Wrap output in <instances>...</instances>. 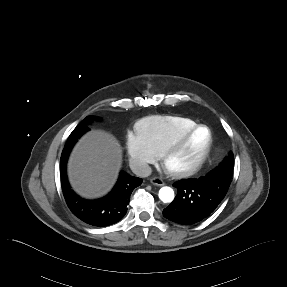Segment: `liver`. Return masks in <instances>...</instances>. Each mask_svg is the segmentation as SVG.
I'll list each match as a JSON object with an SVG mask.
<instances>
[{
    "label": "liver",
    "instance_id": "obj_1",
    "mask_svg": "<svg viewBox=\"0 0 287 287\" xmlns=\"http://www.w3.org/2000/svg\"><path fill=\"white\" fill-rule=\"evenodd\" d=\"M122 164V149L117 139L101 130L85 134L75 145L68 162L73 189L83 197L96 198L114 185Z\"/></svg>",
    "mask_w": 287,
    "mask_h": 287
}]
</instances>
